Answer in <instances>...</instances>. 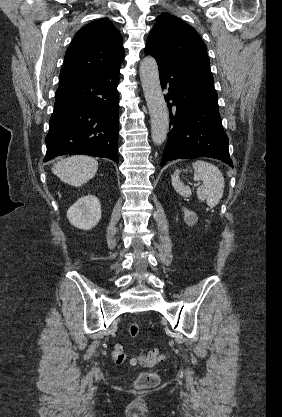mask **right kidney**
Wrapping results in <instances>:
<instances>
[{
	"instance_id": "obj_1",
	"label": "right kidney",
	"mask_w": 282,
	"mask_h": 417,
	"mask_svg": "<svg viewBox=\"0 0 282 417\" xmlns=\"http://www.w3.org/2000/svg\"><path fill=\"white\" fill-rule=\"evenodd\" d=\"M101 213L99 198L95 194H87V196H80L72 206H69L67 219L77 229L89 231L99 223Z\"/></svg>"
}]
</instances>
